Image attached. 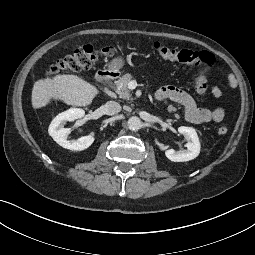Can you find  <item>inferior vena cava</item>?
<instances>
[{
	"mask_svg": "<svg viewBox=\"0 0 255 255\" xmlns=\"http://www.w3.org/2000/svg\"><path fill=\"white\" fill-rule=\"evenodd\" d=\"M121 106L115 101H108L105 104V111L107 115L113 116L117 115L121 111Z\"/></svg>",
	"mask_w": 255,
	"mask_h": 255,
	"instance_id": "602c4592",
	"label": "inferior vena cava"
}]
</instances>
